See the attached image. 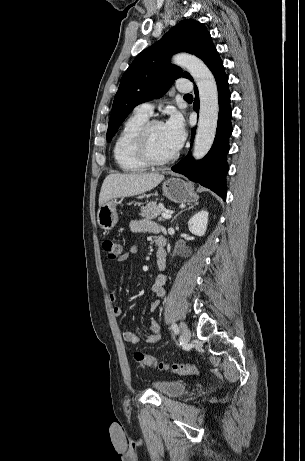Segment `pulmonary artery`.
Masks as SVG:
<instances>
[{
  "mask_svg": "<svg viewBox=\"0 0 305 461\" xmlns=\"http://www.w3.org/2000/svg\"><path fill=\"white\" fill-rule=\"evenodd\" d=\"M191 86L187 83L185 79H179L178 84H177V90L181 93H187L191 91ZM153 104L149 102L142 103L138 105L135 109V112L146 115V116H151L153 113Z\"/></svg>",
  "mask_w": 305,
  "mask_h": 461,
  "instance_id": "1",
  "label": "pulmonary artery"
}]
</instances>
